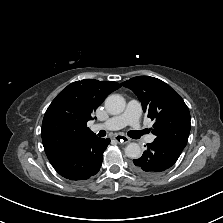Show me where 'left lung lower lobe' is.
Returning a JSON list of instances; mask_svg holds the SVG:
<instances>
[{"label":"left lung lower lobe","mask_w":223,"mask_h":223,"mask_svg":"<svg viewBox=\"0 0 223 223\" xmlns=\"http://www.w3.org/2000/svg\"><path fill=\"white\" fill-rule=\"evenodd\" d=\"M183 147L162 140L147 144L141 158L133 160L132 169L142 176H154L170 168L179 158Z\"/></svg>","instance_id":"1"}]
</instances>
